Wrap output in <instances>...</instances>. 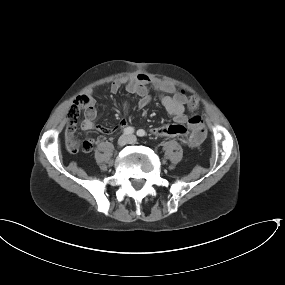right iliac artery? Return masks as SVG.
I'll return each mask as SVG.
<instances>
[{"label": "right iliac artery", "instance_id": "1", "mask_svg": "<svg viewBox=\"0 0 285 285\" xmlns=\"http://www.w3.org/2000/svg\"><path fill=\"white\" fill-rule=\"evenodd\" d=\"M133 132H134V128L130 126L123 130V133L126 135L132 134Z\"/></svg>", "mask_w": 285, "mask_h": 285}]
</instances>
